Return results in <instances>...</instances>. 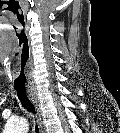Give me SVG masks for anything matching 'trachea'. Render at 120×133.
<instances>
[{
  "label": "trachea",
  "instance_id": "trachea-1",
  "mask_svg": "<svg viewBox=\"0 0 120 133\" xmlns=\"http://www.w3.org/2000/svg\"><path fill=\"white\" fill-rule=\"evenodd\" d=\"M16 92H17V96L22 104V106L27 109V111L35 114V106L33 105V103L29 100L27 93H26V89L25 88H16ZM35 132L36 133H40L39 132V128L38 125L35 126Z\"/></svg>",
  "mask_w": 120,
  "mask_h": 133
}]
</instances>
